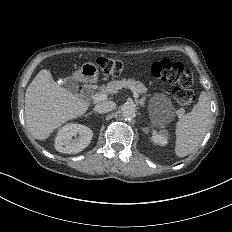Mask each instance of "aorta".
<instances>
[{
	"label": "aorta",
	"mask_w": 232,
	"mask_h": 232,
	"mask_svg": "<svg viewBox=\"0 0 232 232\" xmlns=\"http://www.w3.org/2000/svg\"><path fill=\"white\" fill-rule=\"evenodd\" d=\"M121 112L123 116L127 119H132L136 116V106L132 102H127L121 106Z\"/></svg>",
	"instance_id": "762f6f07"
}]
</instances>
